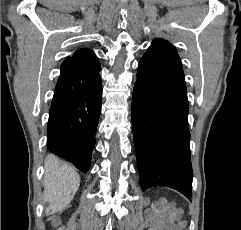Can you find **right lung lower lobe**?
<instances>
[{"label": "right lung lower lobe", "instance_id": "obj_1", "mask_svg": "<svg viewBox=\"0 0 241 230\" xmlns=\"http://www.w3.org/2000/svg\"><path fill=\"white\" fill-rule=\"evenodd\" d=\"M100 69L83 67L66 58L61 65L49 113V151L83 172H87L91 165L101 113Z\"/></svg>", "mask_w": 241, "mask_h": 230}]
</instances>
